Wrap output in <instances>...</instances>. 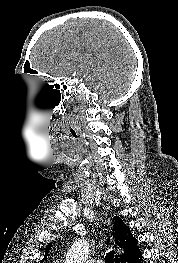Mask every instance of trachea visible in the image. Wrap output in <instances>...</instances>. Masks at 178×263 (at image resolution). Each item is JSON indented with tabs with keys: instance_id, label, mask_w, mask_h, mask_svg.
Returning a JSON list of instances; mask_svg holds the SVG:
<instances>
[{
	"instance_id": "obj_1",
	"label": "trachea",
	"mask_w": 178,
	"mask_h": 263,
	"mask_svg": "<svg viewBox=\"0 0 178 263\" xmlns=\"http://www.w3.org/2000/svg\"><path fill=\"white\" fill-rule=\"evenodd\" d=\"M105 263H114V250H111L106 254Z\"/></svg>"
}]
</instances>
